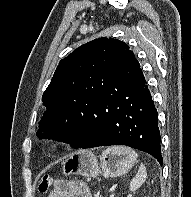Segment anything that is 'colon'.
<instances>
[{"label":"colon","mask_w":191,"mask_h":197,"mask_svg":"<svg viewBox=\"0 0 191 197\" xmlns=\"http://www.w3.org/2000/svg\"><path fill=\"white\" fill-rule=\"evenodd\" d=\"M55 183V179L51 176H44L39 184V191L42 193H46L53 187Z\"/></svg>","instance_id":"1"}]
</instances>
